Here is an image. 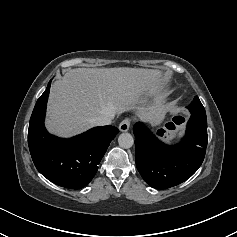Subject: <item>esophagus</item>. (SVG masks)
I'll return each instance as SVG.
<instances>
[{
    "label": "esophagus",
    "mask_w": 237,
    "mask_h": 237,
    "mask_svg": "<svg viewBox=\"0 0 237 237\" xmlns=\"http://www.w3.org/2000/svg\"><path fill=\"white\" fill-rule=\"evenodd\" d=\"M131 125V120L130 119H124L120 124H119V130L121 132H126L129 130Z\"/></svg>",
    "instance_id": "obj_1"
}]
</instances>
